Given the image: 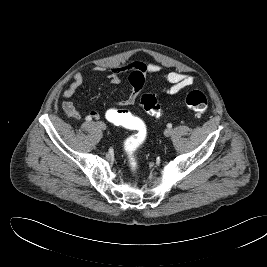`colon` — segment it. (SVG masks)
Returning <instances> with one entry per match:
<instances>
[{
    "label": "colon",
    "instance_id": "1",
    "mask_svg": "<svg viewBox=\"0 0 267 267\" xmlns=\"http://www.w3.org/2000/svg\"><path fill=\"white\" fill-rule=\"evenodd\" d=\"M140 104L149 115L157 118L161 117L163 113L162 108L154 95L143 94L140 99ZM185 106L197 115H202L208 108V99L203 92L192 90L185 97ZM104 117L109 123L115 126L134 131L131 136L125 139L123 149L128 157L131 170L135 171L137 168L135 154L144 144L147 137L144 123L134 117L129 111L117 106L108 107L104 112Z\"/></svg>",
    "mask_w": 267,
    "mask_h": 267
}]
</instances>
